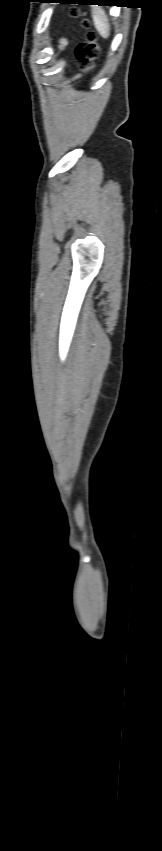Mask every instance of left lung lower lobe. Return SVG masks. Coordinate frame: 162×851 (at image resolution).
<instances>
[{
	"label": "left lung lower lobe",
	"instance_id": "left-lung-lower-lobe-1",
	"mask_svg": "<svg viewBox=\"0 0 162 851\" xmlns=\"http://www.w3.org/2000/svg\"><path fill=\"white\" fill-rule=\"evenodd\" d=\"M107 0H61L58 3L61 4H79V5H89L90 3H105ZM100 6V4H99Z\"/></svg>",
	"mask_w": 162,
	"mask_h": 851
}]
</instances>
